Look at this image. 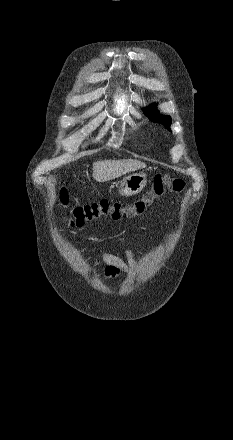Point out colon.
I'll return each mask as SVG.
<instances>
[{"label": "colon", "instance_id": "1", "mask_svg": "<svg viewBox=\"0 0 233 440\" xmlns=\"http://www.w3.org/2000/svg\"><path fill=\"white\" fill-rule=\"evenodd\" d=\"M184 187L185 183L181 178L157 173L153 177L152 188L133 204L124 206L118 202L103 199L72 208L65 216L64 221L70 226L83 227L103 216H108L114 220H119L123 216H138L144 213L146 208L166 191L179 193ZM58 199L61 207L66 208L68 206V194L63 186L58 187Z\"/></svg>", "mask_w": 233, "mask_h": 440}]
</instances>
